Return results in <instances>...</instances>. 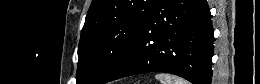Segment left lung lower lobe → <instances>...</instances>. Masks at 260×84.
Returning a JSON list of instances; mask_svg holds the SVG:
<instances>
[{"mask_svg":"<svg viewBox=\"0 0 260 84\" xmlns=\"http://www.w3.org/2000/svg\"><path fill=\"white\" fill-rule=\"evenodd\" d=\"M213 27L206 0H156L123 59L104 83L167 72L211 84Z\"/></svg>","mask_w":260,"mask_h":84,"instance_id":"1","label":"left lung lower lobe"}]
</instances>
